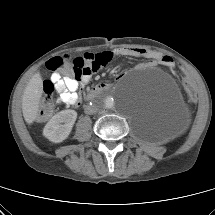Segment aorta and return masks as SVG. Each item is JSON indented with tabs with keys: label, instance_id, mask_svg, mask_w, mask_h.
<instances>
[{
	"label": "aorta",
	"instance_id": "762f6f07",
	"mask_svg": "<svg viewBox=\"0 0 215 215\" xmlns=\"http://www.w3.org/2000/svg\"><path fill=\"white\" fill-rule=\"evenodd\" d=\"M118 102H119V97H116L115 94L104 93L97 98L95 105L100 110H104V111L113 110L117 108Z\"/></svg>",
	"mask_w": 215,
	"mask_h": 215
}]
</instances>
